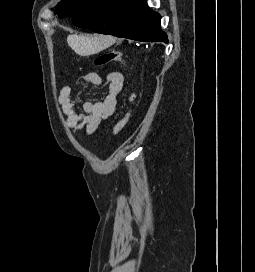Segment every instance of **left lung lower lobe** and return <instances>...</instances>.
Segmentation results:
<instances>
[{"instance_id": "1", "label": "left lung lower lobe", "mask_w": 255, "mask_h": 272, "mask_svg": "<svg viewBox=\"0 0 255 272\" xmlns=\"http://www.w3.org/2000/svg\"><path fill=\"white\" fill-rule=\"evenodd\" d=\"M161 16L146 0H90L72 15L74 25L102 34L145 42L168 43Z\"/></svg>"}]
</instances>
